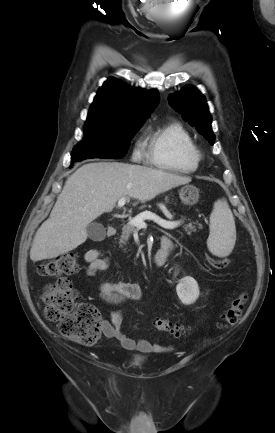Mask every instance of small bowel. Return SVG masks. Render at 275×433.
Masks as SVG:
<instances>
[{
    "label": "small bowel",
    "instance_id": "small-bowel-1",
    "mask_svg": "<svg viewBox=\"0 0 275 433\" xmlns=\"http://www.w3.org/2000/svg\"><path fill=\"white\" fill-rule=\"evenodd\" d=\"M165 241L171 245V254L172 242L166 236L162 238L161 243ZM84 260L87 264L86 273L89 277L106 270L108 267V259L98 249L87 250L84 254ZM141 295V286L132 282H103L99 285V297L108 305H117L126 300H139ZM122 323V313H111L110 319L103 320L101 323L104 336L116 339L127 350H137L143 353L164 352L171 348L148 340H134L127 337L122 330Z\"/></svg>",
    "mask_w": 275,
    "mask_h": 433
}]
</instances>
